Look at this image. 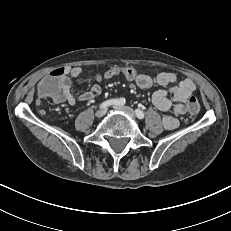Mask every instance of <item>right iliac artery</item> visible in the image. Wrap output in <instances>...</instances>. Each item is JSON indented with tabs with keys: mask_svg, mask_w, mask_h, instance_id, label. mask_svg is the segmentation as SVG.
<instances>
[{
	"mask_svg": "<svg viewBox=\"0 0 231 231\" xmlns=\"http://www.w3.org/2000/svg\"><path fill=\"white\" fill-rule=\"evenodd\" d=\"M125 104L124 98L109 99L100 104V108H106L111 105L122 106Z\"/></svg>",
	"mask_w": 231,
	"mask_h": 231,
	"instance_id": "1",
	"label": "right iliac artery"
}]
</instances>
